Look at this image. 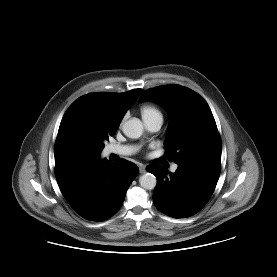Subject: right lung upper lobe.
<instances>
[{
	"label": "right lung upper lobe",
	"mask_w": 277,
	"mask_h": 277,
	"mask_svg": "<svg viewBox=\"0 0 277 277\" xmlns=\"http://www.w3.org/2000/svg\"><path fill=\"white\" fill-rule=\"evenodd\" d=\"M142 91L134 89L120 94H88L78 98L62 118L55 142V164L99 158L80 137L74 123L76 115L84 114L110 129L117 130L124 114Z\"/></svg>",
	"instance_id": "obj_1"
}]
</instances>
